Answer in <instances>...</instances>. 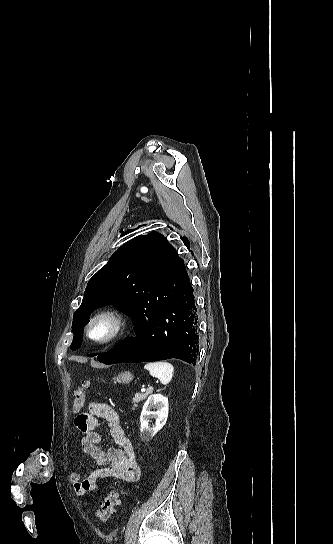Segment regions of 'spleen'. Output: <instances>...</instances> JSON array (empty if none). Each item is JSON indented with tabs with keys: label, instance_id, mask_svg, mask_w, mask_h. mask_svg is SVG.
I'll return each instance as SVG.
<instances>
[{
	"label": "spleen",
	"instance_id": "3e777b00",
	"mask_svg": "<svg viewBox=\"0 0 333 544\" xmlns=\"http://www.w3.org/2000/svg\"><path fill=\"white\" fill-rule=\"evenodd\" d=\"M144 369L149 371L152 377L159 379L163 385L171 381L174 373V367L165 361L149 362L145 364Z\"/></svg>",
	"mask_w": 333,
	"mask_h": 544
}]
</instances>
